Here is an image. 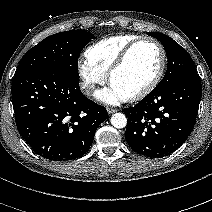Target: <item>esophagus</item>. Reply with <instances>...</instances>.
I'll return each instance as SVG.
<instances>
[{"mask_svg":"<svg viewBox=\"0 0 212 212\" xmlns=\"http://www.w3.org/2000/svg\"><path fill=\"white\" fill-rule=\"evenodd\" d=\"M107 112H108L109 114H112V113L117 112V109H114V108H107Z\"/></svg>","mask_w":212,"mask_h":212,"instance_id":"esophagus-1","label":"esophagus"}]
</instances>
